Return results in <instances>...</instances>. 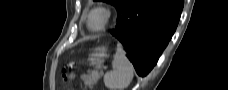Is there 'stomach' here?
Instances as JSON below:
<instances>
[{
    "instance_id": "1",
    "label": "stomach",
    "mask_w": 228,
    "mask_h": 90,
    "mask_svg": "<svg viewBox=\"0 0 228 90\" xmlns=\"http://www.w3.org/2000/svg\"><path fill=\"white\" fill-rule=\"evenodd\" d=\"M105 57L106 49L103 47L97 48L89 58L90 64L93 66H100L103 64Z\"/></svg>"
}]
</instances>
